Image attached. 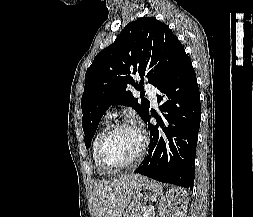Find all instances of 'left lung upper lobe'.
Instances as JSON below:
<instances>
[{
	"instance_id": "1",
	"label": "left lung upper lobe",
	"mask_w": 253,
	"mask_h": 217,
	"mask_svg": "<svg viewBox=\"0 0 253 217\" xmlns=\"http://www.w3.org/2000/svg\"><path fill=\"white\" fill-rule=\"evenodd\" d=\"M184 53L178 38L156 18L142 17L127 24L86 71L81 99L86 147L111 105L130 106L144 119L150 103L144 98L141 101L134 98L130 87L141 88L144 77L156 87ZM135 75L141 77L140 86L133 79Z\"/></svg>"
}]
</instances>
